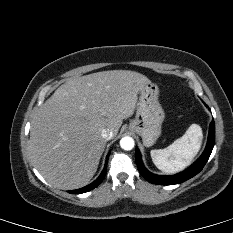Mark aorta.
I'll use <instances>...</instances> for the list:
<instances>
[{"instance_id": "1", "label": "aorta", "mask_w": 233, "mask_h": 233, "mask_svg": "<svg viewBox=\"0 0 233 233\" xmlns=\"http://www.w3.org/2000/svg\"><path fill=\"white\" fill-rule=\"evenodd\" d=\"M135 142L132 137L126 136L120 140V146L124 150H132L134 148Z\"/></svg>"}]
</instances>
